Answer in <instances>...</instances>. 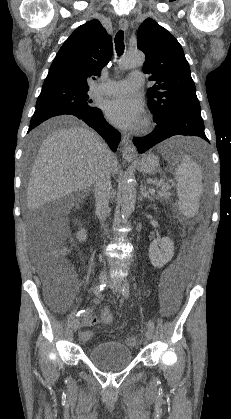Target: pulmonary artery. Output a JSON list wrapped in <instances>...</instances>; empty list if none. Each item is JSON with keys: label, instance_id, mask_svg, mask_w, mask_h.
<instances>
[{"label": "pulmonary artery", "instance_id": "1", "mask_svg": "<svg viewBox=\"0 0 231 419\" xmlns=\"http://www.w3.org/2000/svg\"><path fill=\"white\" fill-rule=\"evenodd\" d=\"M144 83L141 72H133L122 81H109L93 89L95 95L119 96L139 89Z\"/></svg>", "mask_w": 231, "mask_h": 419}]
</instances>
